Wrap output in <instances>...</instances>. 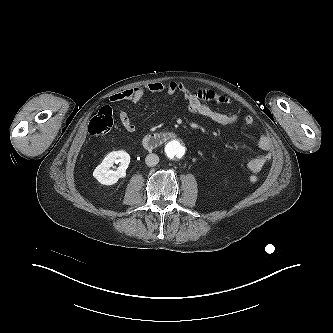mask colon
Masks as SVG:
<instances>
[{
    "label": "colon",
    "mask_w": 333,
    "mask_h": 333,
    "mask_svg": "<svg viewBox=\"0 0 333 333\" xmlns=\"http://www.w3.org/2000/svg\"><path fill=\"white\" fill-rule=\"evenodd\" d=\"M113 126V113L109 106H103L98 113L91 119L89 123V132L92 135H105ZM251 183H256L258 177L251 175L249 177Z\"/></svg>",
    "instance_id": "5ec220e1"
}]
</instances>
